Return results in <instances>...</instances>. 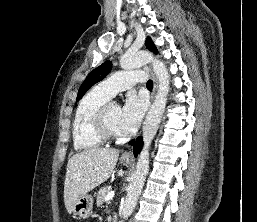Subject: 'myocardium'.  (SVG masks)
I'll use <instances>...</instances> for the list:
<instances>
[{"mask_svg":"<svg viewBox=\"0 0 257 222\" xmlns=\"http://www.w3.org/2000/svg\"><path fill=\"white\" fill-rule=\"evenodd\" d=\"M116 105L115 101H108L97 112L94 118V126L97 135L103 141L120 139L121 135L113 131L109 126V113L111 108Z\"/></svg>","mask_w":257,"mask_h":222,"instance_id":"1","label":"myocardium"}]
</instances>
